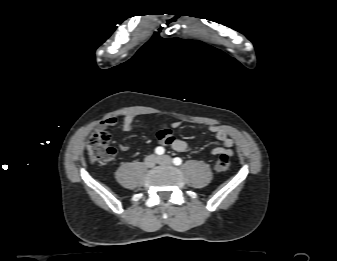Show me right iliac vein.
I'll list each match as a JSON object with an SVG mask.
<instances>
[{
    "mask_svg": "<svg viewBox=\"0 0 337 261\" xmlns=\"http://www.w3.org/2000/svg\"><path fill=\"white\" fill-rule=\"evenodd\" d=\"M157 162L158 158L155 155H149L145 158V165L147 167H154Z\"/></svg>",
    "mask_w": 337,
    "mask_h": 261,
    "instance_id": "right-iliac-vein-1",
    "label": "right iliac vein"
}]
</instances>
